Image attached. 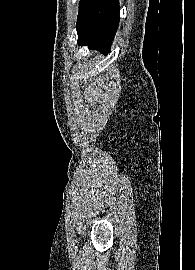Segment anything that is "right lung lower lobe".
<instances>
[{
	"instance_id": "98d812e1",
	"label": "right lung lower lobe",
	"mask_w": 195,
	"mask_h": 270,
	"mask_svg": "<svg viewBox=\"0 0 195 270\" xmlns=\"http://www.w3.org/2000/svg\"><path fill=\"white\" fill-rule=\"evenodd\" d=\"M119 19L118 0H81L76 25L79 44L109 53Z\"/></svg>"
}]
</instances>
